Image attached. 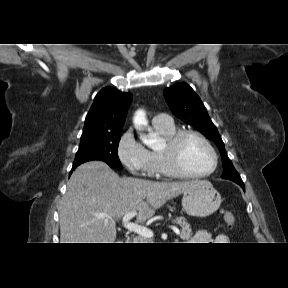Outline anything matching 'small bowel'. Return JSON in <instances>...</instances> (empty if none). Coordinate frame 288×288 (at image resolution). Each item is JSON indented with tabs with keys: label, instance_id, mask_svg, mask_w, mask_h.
Segmentation results:
<instances>
[{
	"label": "small bowel",
	"instance_id": "small-bowel-1",
	"mask_svg": "<svg viewBox=\"0 0 288 288\" xmlns=\"http://www.w3.org/2000/svg\"><path fill=\"white\" fill-rule=\"evenodd\" d=\"M193 242L195 243H220L225 244L229 243V239L225 234H217L216 236H212L211 233L207 230H199L193 236Z\"/></svg>",
	"mask_w": 288,
	"mask_h": 288
}]
</instances>
